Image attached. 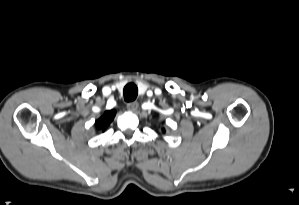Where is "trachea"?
Segmentation results:
<instances>
[{
    "instance_id": "3493384b",
    "label": "trachea",
    "mask_w": 299,
    "mask_h": 205,
    "mask_svg": "<svg viewBox=\"0 0 299 205\" xmlns=\"http://www.w3.org/2000/svg\"><path fill=\"white\" fill-rule=\"evenodd\" d=\"M138 95V88L134 83H129L124 87V100L132 102Z\"/></svg>"
}]
</instances>
